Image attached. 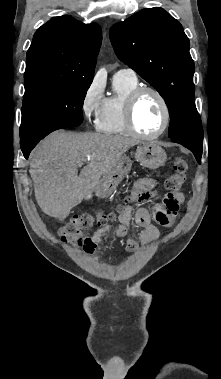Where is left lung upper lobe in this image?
I'll list each match as a JSON object with an SVG mask.
<instances>
[{
    "instance_id": "5c2ea615",
    "label": "left lung upper lobe",
    "mask_w": 221,
    "mask_h": 379,
    "mask_svg": "<svg viewBox=\"0 0 221 379\" xmlns=\"http://www.w3.org/2000/svg\"><path fill=\"white\" fill-rule=\"evenodd\" d=\"M109 37L118 58L164 98L171 140L203 149L202 122L195 106L194 62L182 25L155 7L114 24Z\"/></svg>"
}]
</instances>
